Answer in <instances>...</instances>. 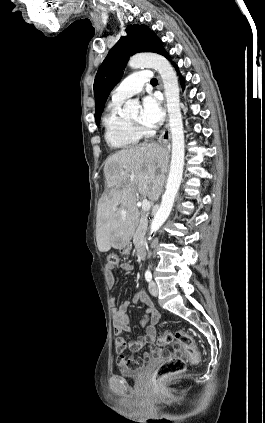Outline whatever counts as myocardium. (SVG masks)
Returning <instances> with one entry per match:
<instances>
[{
  "instance_id": "1",
  "label": "myocardium",
  "mask_w": 265,
  "mask_h": 423,
  "mask_svg": "<svg viewBox=\"0 0 265 423\" xmlns=\"http://www.w3.org/2000/svg\"><path fill=\"white\" fill-rule=\"evenodd\" d=\"M128 121L130 122V124L133 126V128L138 132V133H143L146 128L138 122H134L131 119H128Z\"/></svg>"
}]
</instances>
